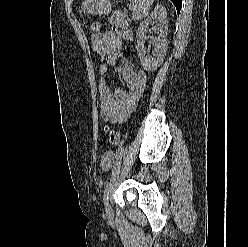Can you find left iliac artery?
Listing matches in <instances>:
<instances>
[{
  "mask_svg": "<svg viewBox=\"0 0 248 247\" xmlns=\"http://www.w3.org/2000/svg\"><path fill=\"white\" fill-rule=\"evenodd\" d=\"M109 186H110V182H107L106 189L104 191V196H103V201H104V204H105L106 211H107V201H108Z\"/></svg>",
  "mask_w": 248,
  "mask_h": 247,
  "instance_id": "1",
  "label": "left iliac artery"
}]
</instances>
